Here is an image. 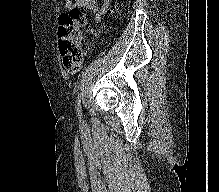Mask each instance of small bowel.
<instances>
[{
	"label": "small bowel",
	"instance_id": "c3829d8e",
	"mask_svg": "<svg viewBox=\"0 0 219 192\" xmlns=\"http://www.w3.org/2000/svg\"><path fill=\"white\" fill-rule=\"evenodd\" d=\"M75 5L92 11L95 14V24L100 23L101 15L104 14L109 8L107 3H105L102 7H99V5L94 0H76ZM66 6H72L71 0H67Z\"/></svg>",
	"mask_w": 219,
	"mask_h": 192
}]
</instances>
